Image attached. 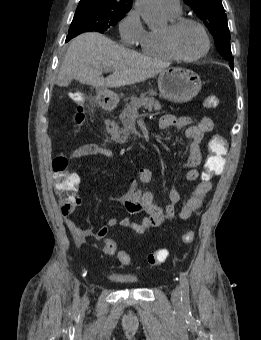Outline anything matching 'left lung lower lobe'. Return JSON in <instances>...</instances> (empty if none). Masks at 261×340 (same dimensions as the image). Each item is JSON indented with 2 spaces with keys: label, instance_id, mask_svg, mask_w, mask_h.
<instances>
[{
  "label": "left lung lower lobe",
  "instance_id": "left-lung-lower-lobe-1",
  "mask_svg": "<svg viewBox=\"0 0 261 340\" xmlns=\"http://www.w3.org/2000/svg\"><path fill=\"white\" fill-rule=\"evenodd\" d=\"M231 69H233V64H230Z\"/></svg>",
  "mask_w": 261,
  "mask_h": 340
}]
</instances>
